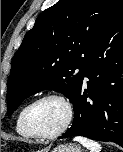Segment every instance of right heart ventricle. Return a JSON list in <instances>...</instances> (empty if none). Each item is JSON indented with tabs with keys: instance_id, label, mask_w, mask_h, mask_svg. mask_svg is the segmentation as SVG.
<instances>
[{
	"instance_id": "right-heart-ventricle-1",
	"label": "right heart ventricle",
	"mask_w": 123,
	"mask_h": 152,
	"mask_svg": "<svg viewBox=\"0 0 123 152\" xmlns=\"http://www.w3.org/2000/svg\"><path fill=\"white\" fill-rule=\"evenodd\" d=\"M28 104L24 105L17 114L16 121H15V129L16 132L23 138L29 139L33 138V136L28 132L24 125V113L27 108Z\"/></svg>"
}]
</instances>
